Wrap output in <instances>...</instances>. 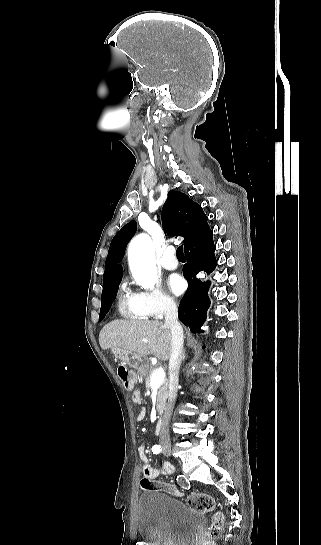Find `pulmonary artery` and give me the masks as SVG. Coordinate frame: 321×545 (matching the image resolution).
Instances as JSON below:
<instances>
[{
  "label": "pulmonary artery",
  "instance_id": "1",
  "mask_svg": "<svg viewBox=\"0 0 321 545\" xmlns=\"http://www.w3.org/2000/svg\"><path fill=\"white\" fill-rule=\"evenodd\" d=\"M162 259L160 260V265L167 270H175L178 267L177 260H170L172 254L170 251L165 250L161 254Z\"/></svg>",
  "mask_w": 321,
  "mask_h": 545
}]
</instances>
